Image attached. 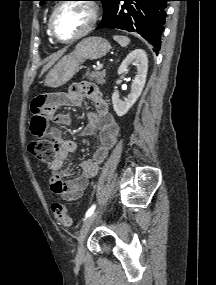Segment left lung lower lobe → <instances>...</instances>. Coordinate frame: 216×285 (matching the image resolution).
<instances>
[{
  "instance_id": "left-lung-lower-lobe-1",
  "label": "left lung lower lobe",
  "mask_w": 216,
  "mask_h": 285,
  "mask_svg": "<svg viewBox=\"0 0 216 285\" xmlns=\"http://www.w3.org/2000/svg\"><path fill=\"white\" fill-rule=\"evenodd\" d=\"M167 1L170 0H113L96 29L136 32L159 50Z\"/></svg>"
}]
</instances>
